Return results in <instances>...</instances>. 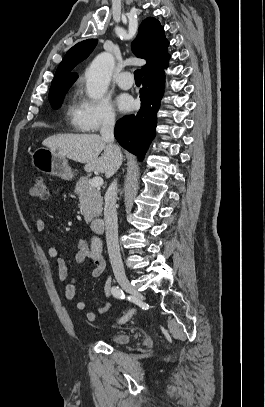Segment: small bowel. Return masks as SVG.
Instances as JSON below:
<instances>
[{
    "label": "small bowel",
    "instance_id": "1",
    "mask_svg": "<svg viewBox=\"0 0 265 407\" xmlns=\"http://www.w3.org/2000/svg\"><path fill=\"white\" fill-rule=\"evenodd\" d=\"M34 227L39 232L43 231L45 229V221L40 217L36 218L34 222ZM47 254L49 257L56 260L60 278L62 280H68L64 290L65 298L67 300H73L76 296V285H75L76 279L69 278V267H70L69 260L60 257L58 255L57 249L54 247H49L47 249ZM75 261L78 264H82L85 261L90 262L92 264L90 275L93 278L100 277L105 271L106 264L100 246L97 242H94L91 246H87L84 240L82 239L79 240L77 252L75 255ZM111 293L112 288L110 284V279L107 278L104 284V294L106 297V301L102 306L98 307L95 310H91L87 313L86 317L89 322H95L100 314L107 312L111 308L112 306L110 300ZM75 308L77 311L80 312L84 311L86 308V304L83 301H78L76 303Z\"/></svg>",
    "mask_w": 265,
    "mask_h": 407
}]
</instances>
